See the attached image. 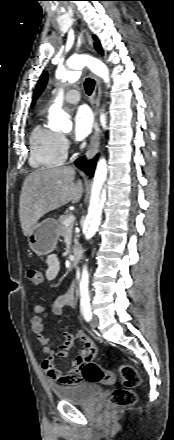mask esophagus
I'll use <instances>...</instances> for the list:
<instances>
[{"instance_id": "obj_1", "label": "esophagus", "mask_w": 174, "mask_h": 440, "mask_svg": "<svg viewBox=\"0 0 174 440\" xmlns=\"http://www.w3.org/2000/svg\"><path fill=\"white\" fill-rule=\"evenodd\" d=\"M86 39L88 45L92 47L91 37L87 35ZM101 94H102V90H101L100 79L98 77H95V87H94L93 102H92V107L94 112V130L86 153L87 159H92L95 156L100 145V127L98 123V110L101 101Z\"/></svg>"}]
</instances>
